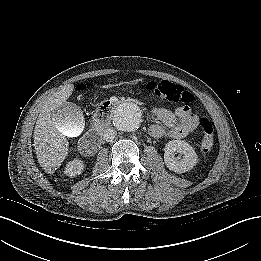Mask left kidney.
I'll return each instance as SVG.
<instances>
[{
    "label": "left kidney",
    "instance_id": "left-kidney-1",
    "mask_svg": "<svg viewBox=\"0 0 261 261\" xmlns=\"http://www.w3.org/2000/svg\"><path fill=\"white\" fill-rule=\"evenodd\" d=\"M164 151V162L167 168L175 173H185L198 162V156L193 147L182 140L169 141ZM177 153L182 154L183 157H176Z\"/></svg>",
    "mask_w": 261,
    "mask_h": 261
}]
</instances>
